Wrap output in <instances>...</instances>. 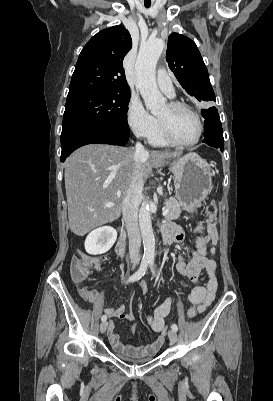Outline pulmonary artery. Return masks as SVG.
Listing matches in <instances>:
<instances>
[{"label": "pulmonary artery", "mask_w": 273, "mask_h": 401, "mask_svg": "<svg viewBox=\"0 0 273 401\" xmlns=\"http://www.w3.org/2000/svg\"><path fill=\"white\" fill-rule=\"evenodd\" d=\"M158 75L160 76V81L157 83L158 88L162 89L169 98L175 97V83L171 80L168 70L166 68H160L158 70Z\"/></svg>", "instance_id": "1"}]
</instances>
